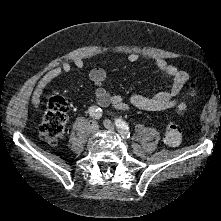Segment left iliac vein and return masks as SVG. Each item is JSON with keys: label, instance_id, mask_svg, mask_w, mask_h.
I'll return each instance as SVG.
<instances>
[{"label": "left iliac vein", "instance_id": "left-iliac-vein-1", "mask_svg": "<svg viewBox=\"0 0 221 221\" xmlns=\"http://www.w3.org/2000/svg\"><path fill=\"white\" fill-rule=\"evenodd\" d=\"M103 123H104V126H105L108 130H110V131H114V130H115V127H114V125L112 124V122H111L110 120L105 119Z\"/></svg>", "mask_w": 221, "mask_h": 221}]
</instances>
